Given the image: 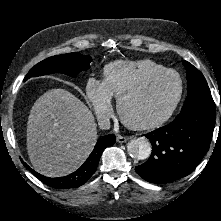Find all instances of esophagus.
Masks as SVG:
<instances>
[{
	"instance_id": "obj_1",
	"label": "esophagus",
	"mask_w": 221,
	"mask_h": 221,
	"mask_svg": "<svg viewBox=\"0 0 221 221\" xmlns=\"http://www.w3.org/2000/svg\"><path fill=\"white\" fill-rule=\"evenodd\" d=\"M117 142L119 143H125L126 141L129 140V137H124V136H117Z\"/></svg>"
}]
</instances>
